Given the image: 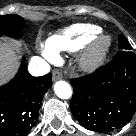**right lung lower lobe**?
I'll use <instances>...</instances> for the list:
<instances>
[{
	"label": "right lung lower lobe",
	"mask_w": 136,
	"mask_h": 136,
	"mask_svg": "<svg viewBox=\"0 0 136 136\" xmlns=\"http://www.w3.org/2000/svg\"><path fill=\"white\" fill-rule=\"evenodd\" d=\"M51 78V74L33 77L23 60L16 76L0 86V136H22L31 130Z\"/></svg>",
	"instance_id": "obj_1"
}]
</instances>
